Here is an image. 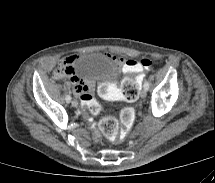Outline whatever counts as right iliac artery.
<instances>
[{
  "mask_svg": "<svg viewBox=\"0 0 215 183\" xmlns=\"http://www.w3.org/2000/svg\"><path fill=\"white\" fill-rule=\"evenodd\" d=\"M65 99H66V102L69 103V102L71 101V96H70V95H67Z\"/></svg>",
  "mask_w": 215,
  "mask_h": 183,
  "instance_id": "right-iliac-artery-1",
  "label": "right iliac artery"
}]
</instances>
